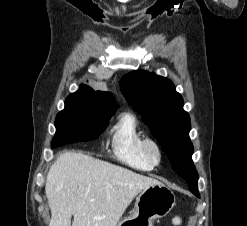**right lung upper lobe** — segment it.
<instances>
[{"instance_id":"obj_1","label":"right lung upper lobe","mask_w":247,"mask_h":226,"mask_svg":"<svg viewBox=\"0 0 247 226\" xmlns=\"http://www.w3.org/2000/svg\"><path fill=\"white\" fill-rule=\"evenodd\" d=\"M73 94H78L97 102L101 108V114L112 115L116 112L117 104L110 92L94 91L87 85H81L80 89Z\"/></svg>"}]
</instances>
